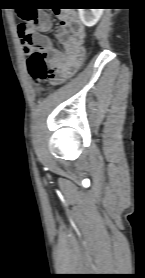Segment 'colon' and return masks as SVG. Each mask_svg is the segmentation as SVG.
I'll return each mask as SVG.
<instances>
[{
	"mask_svg": "<svg viewBox=\"0 0 145 278\" xmlns=\"http://www.w3.org/2000/svg\"><path fill=\"white\" fill-rule=\"evenodd\" d=\"M21 16L24 20H33L36 17V14L31 10H24L21 13ZM19 36L22 44L27 52L35 47L36 42L32 34L28 31H25L19 28ZM28 72L31 80L35 84H40L50 77V68L46 62V59L43 54L33 51L30 52L27 60ZM73 74V70H68L63 76L58 79H53L54 84H63L68 80Z\"/></svg>",
	"mask_w": 145,
	"mask_h": 278,
	"instance_id": "5ec220e1",
	"label": "colon"
}]
</instances>
